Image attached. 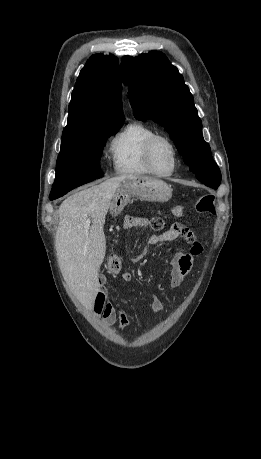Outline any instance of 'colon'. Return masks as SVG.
Instances as JSON below:
<instances>
[{"label":"colon","mask_w":261,"mask_h":459,"mask_svg":"<svg viewBox=\"0 0 261 459\" xmlns=\"http://www.w3.org/2000/svg\"><path fill=\"white\" fill-rule=\"evenodd\" d=\"M194 210L198 214H213L215 211L214 196L211 194L202 195L195 203ZM173 214L176 217H182L184 215V208L180 205L173 207ZM148 225L155 231H160L165 227V223L160 218H151L148 221ZM122 255L119 252L110 254L107 258L106 266L109 272L118 273L122 269ZM100 309L99 305H95V310L98 312Z\"/></svg>","instance_id":"colon-1"}]
</instances>
